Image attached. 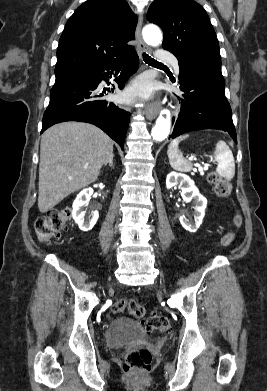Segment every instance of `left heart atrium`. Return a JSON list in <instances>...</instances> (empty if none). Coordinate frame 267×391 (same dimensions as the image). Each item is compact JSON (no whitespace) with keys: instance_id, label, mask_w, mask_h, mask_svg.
<instances>
[{"instance_id":"1","label":"left heart atrium","mask_w":267,"mask_h":391,"mask_svg":"<svg viewBox=\"0 0 267 391\" xmlns=\"http://www.w3.org/2000/svg\"><path fill=\"white\" fill-rule=\"evenodd\" d=\"M152 93V85L147 79H139L137 80L132 87L125 94L126 99H132L135 96H139L141 98H147Z\"/></svg>"}]
</instances>
